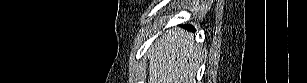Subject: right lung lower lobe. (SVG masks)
Listing matches in <instances>:
<instances>
[{
    "mask_svg": "<svg viewBox=\"0 0 307 83\" xmlns=\"http://www.w3.org/2000/svg\"><path fill=\"white\" fill-rule=\"evenodd\" d=\"M188 28L195 30L191 25H187Z\"/></svg>",
    "mask_w": 307,
    "mask_h": 83,
    "instance_id": "right-lung-lower-lobe-1",
    "label": "right lung lower lobe"
}]
</instances>
